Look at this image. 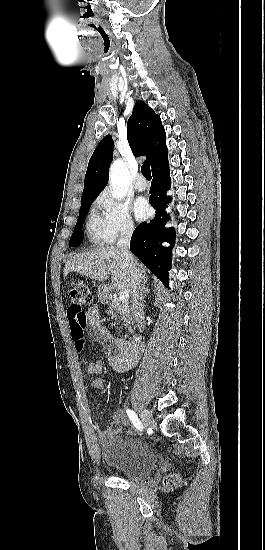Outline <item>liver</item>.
<instances>
[{
	"instance_id": "liver-1",
	"label": "liver",
	"mask_w": 265,
	"mask_h": 550,
	"mask_svg": "<svg viewBox=\"0 0 265 550\" xmlns=\"http://www.w3.org/2000/svg\"><path fill=\"white\" fill-rule=\"evenodd\" d=\"M140 282H147L145 266L134 258ZM77 272L91 279L103 282L111 275L112 284L118 291L131 293L129 268L117 247L106 246L70 258L64 268V276Z\"/></svg>"
}]
</instances>
